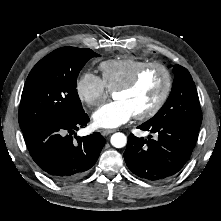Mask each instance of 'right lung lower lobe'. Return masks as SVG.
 Wrapping results in <instances>:
<instances>
[{
    "label": "right lung lower lobe",
    "instance_id": "1",
    "mask_svg": "<svg viewBox=\"0 0 221 221\" xmlns=\"http://www.w3.org/2000/svg\"><path fill=\"white\" fill-rule=\"evenodd\" d=\"M88 121L83 113L72 120L48 121L23 132L30 156L45 175L58 182H71L95 164L106 142L104 137L98 132L73 136Z\"/></svg>",
    "mask_w": 221,
    "mask_h": 221
}]
</instances>
